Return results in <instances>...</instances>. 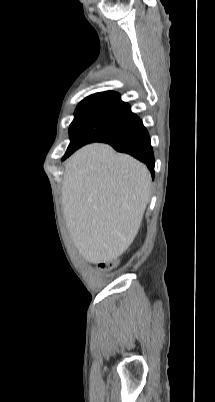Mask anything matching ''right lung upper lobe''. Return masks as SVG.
<instances>
[{"label":"right lung upper lobe","mask_w":215,"mask_h":402,"mask_svg":"<svg viewBox=\"0 0 215 402\" xmlns=\"http://www.w3.org/2000/svg\"><path fill=\"white\" fill-rule=\"evenodd\" d=\"M98 95L109 96V97H113V98H116V99H119V100H120L119 94L116 93V92H113V91H106V92L95 93V94H92V95H90V96H98Z\"/></svg>","instance_id":"cb5924a9"}]
</instances>
